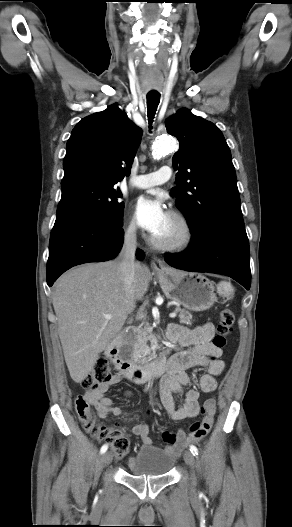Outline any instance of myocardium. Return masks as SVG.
Instances as JSON below:
<instances>
[{"label": "myocardium", "instance_id": "obj_1", "mask_svg": "<svg viewBox=\"0 0 292 527\" xmlns=\"http://www.w3.org/2000/svg\"><path fill=\"white\" fill-rule=\"evenodd\" d=\"M169 217L176 222L179 227L177 237L172 240L163 241L156 237H150L149 241L156 249L163 251H182L188 248L194 238V231L189 219L181 212L172 210Z\"/></svg>", "mask_w": 292, "mask_h": 527}]
</instances>
